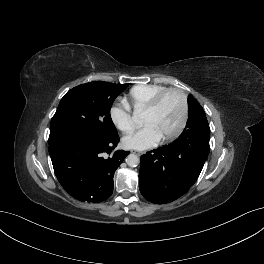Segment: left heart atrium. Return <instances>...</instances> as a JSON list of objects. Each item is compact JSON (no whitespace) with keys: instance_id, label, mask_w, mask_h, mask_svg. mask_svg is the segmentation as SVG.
I'll list each match as a JSON object with an SVG mask.
<instances>
[{"instance_id":"obj_1","label":"left heart atrium","mask_w":264,"mask_h":264,"mask_svg":"<svg viewBox=\"0 0 264 264\" xmlns=\"http://www.w3.org/2000/svg\"><path fill=\"white\" fill-rule=\"evenodd\" d=\"M162 139L159 132L151 124H146L122 140L123 146L127 149L145 150L156 146Z\"/></svg>"}]
</instances>
